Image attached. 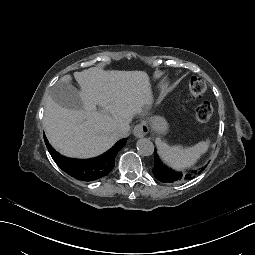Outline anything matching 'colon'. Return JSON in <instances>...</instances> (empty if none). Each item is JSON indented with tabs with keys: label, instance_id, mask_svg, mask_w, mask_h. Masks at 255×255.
Wrapping results in <instances>:
<instances>
[{
	"label": "colon",
	"instance_id": "1",
	"mask_svg": "<svg viewBox=\"0 0 255 255\" xmlns=\"http://www.w3.org/2000/svg\"><path fill=\"white\" fill-rule=\"evenodd\" d=\"M207 89L206 82L199 77L191 78L189 82L190 94L194 97H199L205 93ZM213 114V106L210 102L200 103L195 110V118L200 123L208 122Z\"/></svg>",
	"mask_w": 255,
	"mask_h": 255
}]
</instances>
